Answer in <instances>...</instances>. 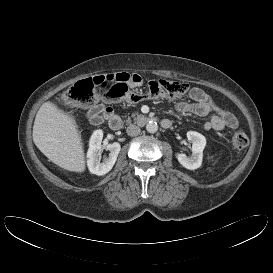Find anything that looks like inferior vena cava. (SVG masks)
I'll use <instances>...</instances> for the list:
<instances>
[{
	"mask_svg": "<svg viewBox=\"0 0 273 273\" xmlns=\"http://www.w3.org/2000/svg\"><path fill=\"white\" fill-rule=\"evenodd\" d=\"M126 131L129 136H137L141 130L137 125L130 124Z\"/></svg>",
	"mask_w": 273,
	"mask_h": 273,
	"instance_id": "602c4592",
	"label": "inferior vena cava"
}]
</instances>
